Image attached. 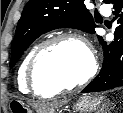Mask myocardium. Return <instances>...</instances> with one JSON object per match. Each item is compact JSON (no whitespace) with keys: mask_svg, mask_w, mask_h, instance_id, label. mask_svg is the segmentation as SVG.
<instances>
[{"mask_svg":"<svg viewBox=\"0 0 123 113\" xmlns=\"http://www.w3.org/2000/svg\"><path fill=\"white\" fill-rule=\"evenodd\" d=\"M62 41H74L79 43L87 52L89 60H90V67L87 73L75 83L68 85V86H58L49 90V92H43L40 90L37 80H36V65L40 57L48 51L51 47L55 44L62 42ZM97 72V60L92 51V48L88 42V40L80 34L77 33H63L56 35L40 45L34 50L32 56L30 57L27 70H26V78L28 86L34 91V93L38 95H46V94H58V93H67L70 92L78 87L83 86L87 82H89Z\"/></svg>","mask_w":123,"mask_h":113,"instance_id":"obj_1","label":"myocardium"}]
</instances>
